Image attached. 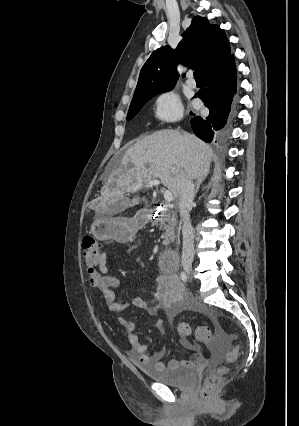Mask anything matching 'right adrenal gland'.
<instances>
[{
  "instance_id": "2a0ac1e0",
  "label": "right adrenal gland",
  "mask_w": 299,
  "mask_h": 426,
  "mask_svg": "<svg viewBox=\"0 0 299 426\" xmlns=\"http://www.w3.org/2000/svg\"><path fill=\"white\" fill-rule=\"evenodd\" d=\"M204 180H205V178H199V179H197L196 184H195L196 185V187H195V194L198 193L200 185L203 183Z\"/></svg>"
}]
</instances>
